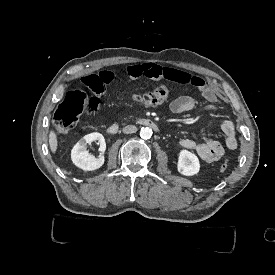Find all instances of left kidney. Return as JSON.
Listing matches in <instances>:
<instances>
[{
	"instance_id": "5707ae66",
	"label": "left kidney",
	"mask_w": 275,
	"mask_h": 275,
	"mask_svg": "<svg viewBox=\"0 0 275 275\" xmlns=\"http://www.w3.org/2000/svg\"><path fill=\"white\" fill-rule=\"evenodd\" d=\"M177 168L178 172L185 176L197 174L200 169L198 157L187 150H182L179 154Z\"/></svg>"
}]
</instances>
